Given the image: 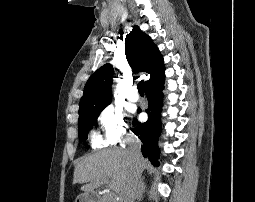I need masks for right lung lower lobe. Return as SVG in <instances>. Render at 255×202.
<instances>
[{
	"instance_id": "98d812e1",
	"label": "right lung lower lobe",
	"mask_w": 255,
	"mask_h": 202,
	"mask_svg": "<svg viewBox=\"0 0 255 202\" xmlns=\"http://www.w3.org/2000/svg\"><path fill=\"white\" fill-rule=\"evenodd\" d=\"M164 81L148 86L145 88V93L149 101L148 120L145 123H137L134 121L133 132L141 139L142 146L141 151L144 157L148 158L152 164L158 165L157 159L159 158V148L157 146L158 139L161 132V110H162V90ZM140 112V110H138Z\"/></svg>"
}]
</instances>
